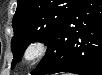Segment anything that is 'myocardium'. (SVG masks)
Segmentation results:
<instances>
[{"label":"myocardium","mask_w":102,"mask_h":75,"mask_svg":"<svg viewBox=\"0 0 102 75\" xmlns=\"http://www.w3.org/2000/svg\"><path fill=\"white\" fill-rule=\"evenodd\" d=\"M45 52V45L41 41L30 42L26 48V54L30 59L40 58Z\"/></svg>","instance_id":"1"}]
</instances>
